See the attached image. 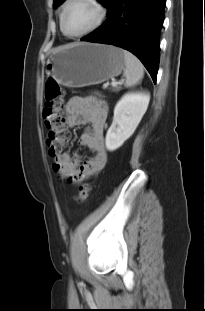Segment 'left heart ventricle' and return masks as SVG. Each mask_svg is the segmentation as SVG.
<instances>
[{
    "instance_id": "1",
    "label": "left heart ventricle",
    "mask_w": 205,
    "mask_h": 311,
    "mask_svg": "<svg viewBox=\"0 0 205 311\" xmlns=\"http://www.w3.org/2000/svg\"><path fill=\"white\" fill-rule=\"evenodd\" d=\"M98 18V10L86 0H74L68 7L65 27L70 34H78L90 28Z\"/></svg>"
}]
</instances>
